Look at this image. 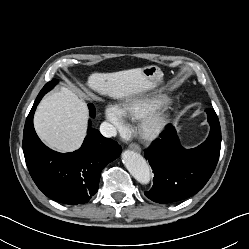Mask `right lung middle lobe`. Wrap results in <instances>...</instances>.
I'll return each instance as SVG.
<instances>
[{
  "label": "right lung middle lobe",
  "mask_w": 249,
  "mask_h": 249,
  "mask_svg": "<svg viewBox=\"0 0 249 249\" xmlns=\"http://www.w3.org/2000/svg\"><path fill=\"white\" fill-rule=\"evenodd\" d=\"M58 82V80L53 79L51 82H48L40 91L39 94L44 95L45 93H47L49 90H51L54 85ZM89 107V111H90V117L94 118L95 117V107L93 104H88Z\"/></svg>",
  "instance_id": "right-lung-middle-lobe-1"
}]
</instances>
